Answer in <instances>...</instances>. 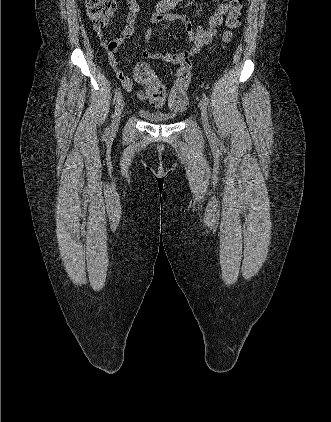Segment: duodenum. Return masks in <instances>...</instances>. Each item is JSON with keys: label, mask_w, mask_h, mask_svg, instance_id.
Segmentation results:
<instances>
[{"label": "duodenum", "mask_w": 331, "mask_h": 422, "mask_svg": "<svg viewBox=\"0 0 331 422\" xmlns=\"http://www.w3.org/2000/svg\"><path fill=\"white\" fill-rule=\"evenodd\" d=\"M179 0H164L168 8H173Z\"/></svg>", "instance_id": "410a0bca"}]
</instances>
